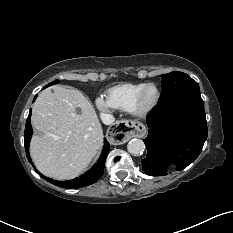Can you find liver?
<instances>
[{
  "mask_svg": "<svg viewBox=\"0 0 233 233\" xmlns=\"http://www.w3.org/2000/svg\"><path fill=\"white\" fill-rule=\"evenodd\" d=\"M32 125L40 132L30 143L37 169L56 180H70L90 164L103 143L97 114L77 89L43 90L32 108Z\"/></svg>",
  "mask_w": 233,
  "mask_h": 233,
  "instance_id": "liver-1",
  "label": "liver"
}]
</instances>
